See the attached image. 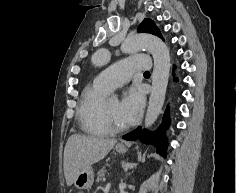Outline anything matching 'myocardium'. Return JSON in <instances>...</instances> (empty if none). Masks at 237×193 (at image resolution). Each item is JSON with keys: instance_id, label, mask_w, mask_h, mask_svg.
Wrapping results in <instances>:
<instances>
[{"instance_id": "obj_1", "label": "myocardium", "mask_w": 237, "mask_h": 193, "mask_svg": "<svg viewBox=\"0 0 237 193\" xmlns=\"http://www.w3.org/2000/svg\"><path fill=\"white\" fill-rule=\"evenodd\" d=\"M101 118H102L103 125L106 127V129L109 132L119 133L129 128V125L118 126L112 122L105 101L102 102Z\"/></svg>"}]
</instances>
